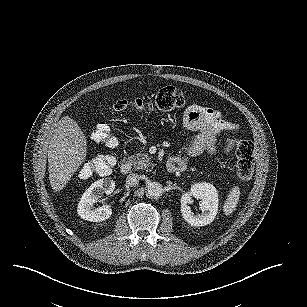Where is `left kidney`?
<instances>
[{
    "label": "left kidney",
    "instance_id": "obj_1",
    "mask_svg": "<svg viewBox=\"0 0 307 307\" xmlns=\"http://www.w3.org/2000/svg\"><path fill=\"white\" fill-rule=\"evenodd\" d=\"M200 201L201 214H194L188 205L191 198ZM183 219L191 226H205L213 222L218 212V191L213 184L207 182L195 183L190 191L183 193L180 199Z\"/></svg>",
    "mask_w": 307,
    "mask_h": 307
}]
</instances>
